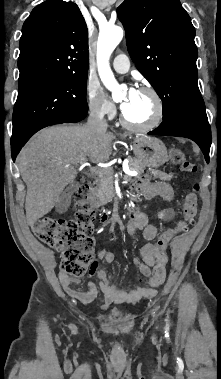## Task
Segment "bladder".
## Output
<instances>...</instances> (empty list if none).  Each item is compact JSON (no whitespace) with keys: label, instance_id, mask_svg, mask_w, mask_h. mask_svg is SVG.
Returning <instances> with one entry per match:
<instances>
[{"label":"bladder","instance_id":"obj_1","mask_svg":"<svg viewBox=\"0 0 221 379\" xmlns=\"http://www.w3.org/2000/svg\"><path fill=\"white\" fill-rule=\"evenodd\" d=\"M110 317L112 319L120 320L123 318V314L118 310H114L111 312Z\"/></svg>","mask_w":221,"mask_h":379}]
</instances>
